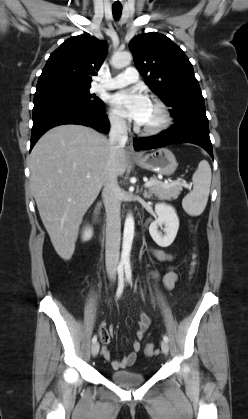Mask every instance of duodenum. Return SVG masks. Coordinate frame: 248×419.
<instances>
[{
    "instance_id": "obj_1",
    "label": "duodenum",
    "mask_w": 248,
    "mask_h": 419,
    "mask_svg": "<svg viewBox=\"0 0 248 419\" xmlns=\"http://www.w3.org/2000/svg\"><path fill=\"white\" fill-rule=\"evenodd\" d=\"M102 207V203L98 202L95 206L93 220L99 230L100 237L102 238L104 236V229L102 227L101 221H100V210Z\"/></svg>"
}]
</instances>
